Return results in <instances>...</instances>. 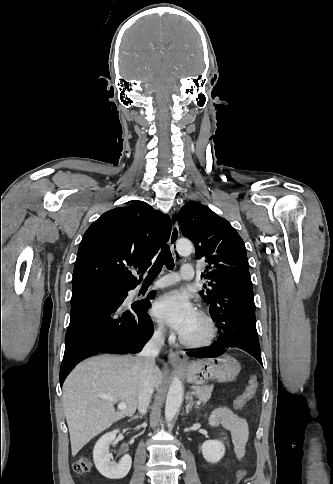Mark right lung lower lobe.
Wrapping results in <instances>:
<instances>
[{
    "mask_svg": "<svg viewBox=\"0 0 333 484\" xmlns=\"http://www.w3.org/2000/svg\"><path fill=\"white\" fill-rule=\"evenodd\" d=\"M129 290L106 286L73 289L60 385L81 360L100 353H137L150 339L154 330L146 313L150 304L123 305Z\"/></svg>",
    "mask_w": 333,
    "mask_h": 484,
    "instance_id": "98d812e1",
    "label": "right lung lower lobe"
}]
</instances>
